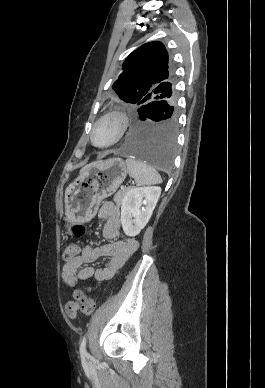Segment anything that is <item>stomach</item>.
Returning a JSON list of instances; mask_svg holds the SVG:
<instances>
[{
    "instance_id": "0dacf381",
    "label": "stomach",
    "mask_w": 265,
    "mask_h": 388,
    "mask_svg": "<svg viewBox=\"0 0 265 388\" xmlns=\"http://www.w3.org/2000/svg\"><path fill=\"white\" fill-rule=\"evenodd\" d=\"M126 176L125 162L116 157L81 171L65 191V215L69 224L91 220L101 201L115 193Z\"/></svg>"
}]
</instances>
